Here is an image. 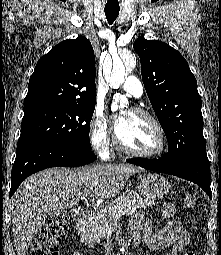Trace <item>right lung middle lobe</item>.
I'll return each instance as SVG.
<instances>
[{
    "mask_svg": "<svg viewBox=\"0 0 221 255\" xmlns=\"http://www.w3.org/2000/svg\"><path fill=\"white\" fill-rule=\"evenodd\" d=\"M95 104L44 106L24 111L19 139H35L92 150L90 121Z\"/></svg>",
    "mask_w": 221,
    "mask_h": 255,
    "instance_id": "obj_1",
    "label": "right lung middle lobe"
}]
</instances>
